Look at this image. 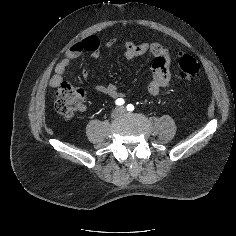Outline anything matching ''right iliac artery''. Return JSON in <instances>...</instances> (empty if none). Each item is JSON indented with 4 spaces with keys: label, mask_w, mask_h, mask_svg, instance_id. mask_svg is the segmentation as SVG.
Here are the masks:
<instances>
[{
    "label": "right iliac artery",
    "mask_w": 236,
    "mask_h": 236,
    "mask_svg": "<svg viewBox=\"0 0 236 236\" xmlns=\"http://www.w3.org/2000/svg\"><path fill=\"white\" fill-rule=\"evenodd\" d=\"M125 103L124 99L122 98H118L116 101H115V104L118 105V106H121Z\"/></svg>",
    "instance_id": "82829eb1"
}]
</instances>
